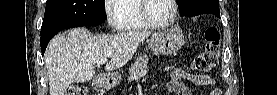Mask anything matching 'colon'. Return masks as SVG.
<instances>
[{
  "instance_id": "5ec220e1",
  "label": "colon",
  "mask_w": 277,
  "mask_h": 95,
  "mask_svg": "<svg viewBox=\"0 0 277 95\" xmlns=\"http://www.w3.org/2000/svg\"><path fill=\"white\" fill-rule=\"evenodd\" d=\"M206 46L194 59V68L201 73L210 72L218 63L220 57V32L216 28H208L205 31ZM68 95H86L87 91L78 86L67 88Z\"/></svg>"
}]
</instances>
